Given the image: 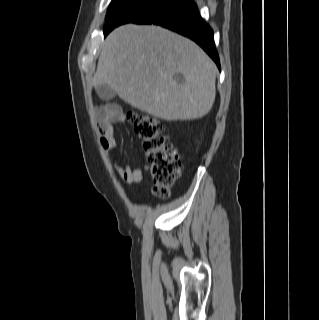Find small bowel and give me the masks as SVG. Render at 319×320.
<instances>
[{"mask_svg": "<svg viewBox=\"0 0 319 320\" xmlns=\"http://www.w3.org/2000/svg\"><path fill=\"white\" fill-rule=\"evenodd\" d=\"M125 115L117 105H107L97 115V132L100 147L108 153L116 146L113 124L123 122ZM117 176L126 183L137 184L142 180L143 171L139 165L115 166Z\"/></svg>", "mask_w": 319, "mask_h": 320, "instance_id": "1", "label": "small bowel"}]
</instances>
